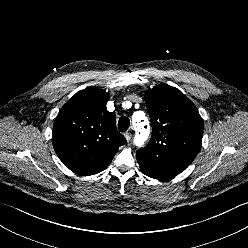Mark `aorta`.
Wrapping results in <instances>:
<instances>
[{
    "label": "aorta",
    "instance_id": "aorta-1",
    "mask_svg": "<svg viewBox=\"0 0 248 248\" xmlns=\"http://www.w3.org/2000/svg\"><path fill=\"white\" fill-rule=\"evenodd\" d=\"M135 130L139 134L138 140L142 141L147 137V122L144 115L138 120L134 118Z\"/></svg>",
    "mask_w": 248,
    "mask_h": 248
}]
</instances>
